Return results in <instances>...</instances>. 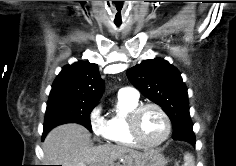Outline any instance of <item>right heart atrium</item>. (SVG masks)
Listing matches in <instances>:
<instances>
[{
  "mask_svg": "<svg viewBox=\"0 0 236 166\" xmlns=\"http://www.w3.org/2000/svg\"><path fill=\"white\" fill-rule=\"evenodd\" d=\"M89 124L93 134L99 138H107V121L100 104L95 105L89 112Z\"/></svg>",
  "mask_w": 236,
  "mask_h": 166,
  "instance_id": "right-heart-atrium-1",
  "label": "right heart atrium"
}]
</instances>
